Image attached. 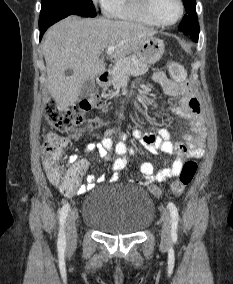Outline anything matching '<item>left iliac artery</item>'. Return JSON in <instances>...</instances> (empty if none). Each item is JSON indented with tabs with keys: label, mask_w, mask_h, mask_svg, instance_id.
Wrapping results in <instances>:
<instances>
[{
	"label": "left iliac artery",
	"mask_w": 233,
	"mask_h": 284,
	"mask_svg": "<svg viewBox=\"0 0 233 284\" xmlns=\"http://www.w3.org/2000/svg\"><path fill=\"white\" fill-rule=\"evenodd\" d=\"M168 208L171 215V221H172V231H171V237L172 240L175 242L177 240V228H178V222H179V214L177 207L174 203L170 202L168 204Z\"/></svg>",
	"instance_id": "left-iliac-artery-1"
}]
</instances>
